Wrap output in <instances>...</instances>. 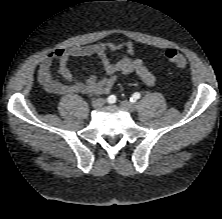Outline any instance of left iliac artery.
<instances>
[{"label":"left iliac artery","instance_id":"44dca946","mask_svg":"<svg viewBox=\"0 0 222 219\" xmlns=\"http://www.w3.org/2000/svg\"><path fill=\"white\" fill-rule=\"evenodd\" d=\"M141 97V95H140V93H138V92H136V93H134L133 94V96H132V101L134 102V101H136L137 99H139Z\"/></svg>","mask_w":222,"mask_h":219}]
</instances>
